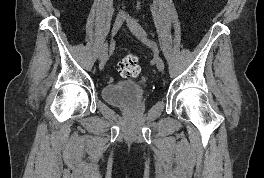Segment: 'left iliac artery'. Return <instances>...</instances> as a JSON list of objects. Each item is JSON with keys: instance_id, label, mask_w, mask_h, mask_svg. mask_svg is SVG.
Wrapping results in <instances>:
<instances>
[{"instance_id": "44dca946", "label": "left iliac artery", "mask_w": 264, "mask_h": 178, "mask_svg": "<svg viewBox=\"0 0 264 178\" xmlns=\"http://www.w3.org/2000/svg\"><path fill=\"white\" fill-rule=\"evenodd\" d=\"M147 45H149L150 47L156 48L157 44L156 42L152 41V40H146L145 41Z\"/></svg>"}]
</instances>
